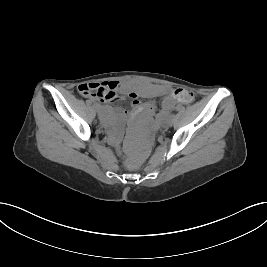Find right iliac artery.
Wrapping results in <instances>:
<instances>
[{
    "instance_id": "obj_1",
    "label": "right iliac artery",
    "mask_w": 267,
    "mask_h": 267,
    "mask_svg": "<svg viewBox=\"0 0 267 267\" xmlns=\"http://www.w3.org/2000/svg\"><path fill=\"white\" fill-rule=\"evenodd\" d=\"M93 107H94V108H97V107H98V105L94 103V104H93Z\"/></svg>"
}]
</instances>
